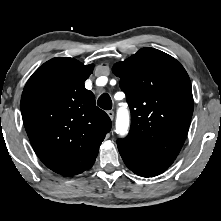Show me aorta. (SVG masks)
I'll return each mask as SVG.
<instances>
[{"mask_svg":"<svg viewBox=\"0 0 221 221\" xmlns=\"http://www.w3.org/2000/svg\"><path fill=\"white\" fill-rule=\"evenodd\" d=\"M129 114L127 110L120 109L117 114V120H116V132L120 136H125L128 133L129 128Z\"/></svg>","mask_w":221,"mask_h":221,"instance_id":"obj_1","label":"aorta"}]
</instances>
